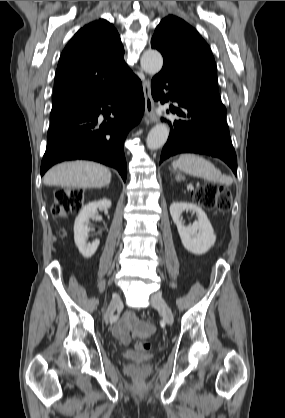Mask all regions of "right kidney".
<instances>
[{"label": "right kidney", "mask_w": 285, "mask_h": 418, "mask_svg": "<svg viewBox=\"0 0 285 418\" xmlns=\"http://www.w3.org/2000/svg\"><path fill=\"white\" fill-rule=\"evenodd\" d=\"M110 207L111 201L108 199L94 201L84 206L76 217L74 223V241L83 257L91 258L96 252L100 243L98 239L92 243L86 242L89 233V219L95 216L98 208L107 210Z\"/></svg>", "instance_id": "obj_1"}]
</instances>
